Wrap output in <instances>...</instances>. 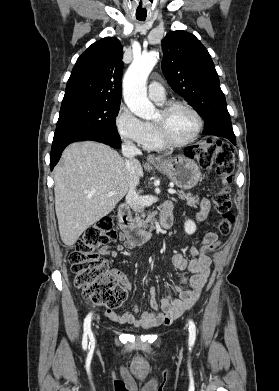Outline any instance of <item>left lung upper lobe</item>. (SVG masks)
I'll return each mask as SVG.
<instances>
[{
	"instance_id": "left-lung-upper-lobe-1",
	"label": "left lung upper lobe",
	"mask_w": 279,
	"mask_h": 391,
	"mask_svg": "<svg viewBox=\"0 0 279 391\" xmlns=\"http://www.w3.org/2000/svg\"><path fill=\"white\" fill-rule=\"evenodd\" d=\"M162 49L163 74L204 119L203 134L234 135L218 74L202 43L193 34L177 30L166 35Z\"/></svg>"
}]
</instances>
